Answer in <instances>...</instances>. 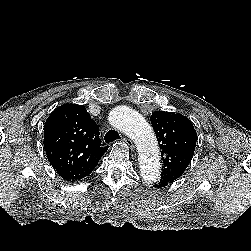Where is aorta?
<instances>
[{
    "label": "aorta",
    "instance_id": "1",
    "mask_svg": "<svg viewBox=\"0 0 251 251\" xmlns=\"http://www.w3.org/2000/svg\"><path fill=\"white\" fill-rule=\"evenodd\" d=\"M109 122L136 142L143 180L146 183L156 182L161 169L159 148L148 122L142 115L126 106L114 108L109 114Z\"/></svg>",
    "mask_w": 251,
    "mask_h": 251
}]
</instances>
